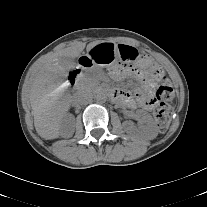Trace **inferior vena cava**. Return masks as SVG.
<instances>
[{"label": "inferior vena cava", "mask_w": 207, "mask_h": 207, "mask_svg": "<svg viewBox=\"0 0 207 207\" xmlns=\"http://www.w3.org/2000/svg\"><path fill=\"white\" fill-rule=\"evenodd\" d=\"M93 99V94L88 90H81L75 95V103L78 105H86Z\"/></svg>", "instance_id": "1"}]
</instances>
